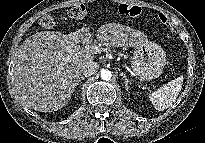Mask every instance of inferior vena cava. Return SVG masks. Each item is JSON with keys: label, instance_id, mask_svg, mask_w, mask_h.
Segmentation results:
<instances>
[{"label": "inferior vena cava", "instance_id": "1", "mask_svg": "<svg viewBox=\"0 0 205 143\" xmlns=\"http://www.w3.org/2000/svg\"><path fill=\"white\" fill-rule=\"evenodd\" d=\"M98 68V63L95 61H89L82 67V73L84 76L89 77L93 75Z\"/></svg>", "mask_w": 205, "mask_h": 143}]
</instances>
